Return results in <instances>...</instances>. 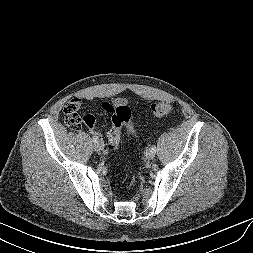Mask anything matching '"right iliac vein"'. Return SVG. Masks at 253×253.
<instances>
[{
    "instance_id": "obj_1",
    "label": "right iliac vein",
    "mask_w": 253,
    "mask_h": 253,
    "mask_svg": "<svg viewBox=\"0 0 253 253\" xmlns=\"http://www.w3.org/2000/svg\"><path fill=\"white\" fill-rule=\"evenodd\" d=\"M94 149L95 151L97 152H100L104 149V142L102 140H99L97 141L95 144H94Z\"/></svg>"
}]
</instances>
